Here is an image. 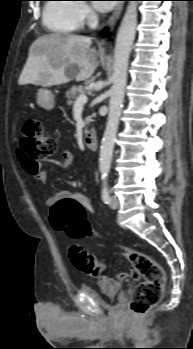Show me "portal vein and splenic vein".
<instances>
[{
  "label": "portal vein and splenic vein",
  "instance_id": "obj_1",
  "mask_svg": "<svg viewBox=\"0 0 193 349\" xmlns=\"http://www.w3.org/2000/svg\"><path fill=\"white\" fill-rule=\"evenodd\" d=\"M87 101H88L87 96L85 94H80L77 97L76 101L74 102V105L76 106V105H80V104H85V103H87Z\"/></svg>",
  "mask_w": 193,
  "mask_h": 349
}]
</instances>
